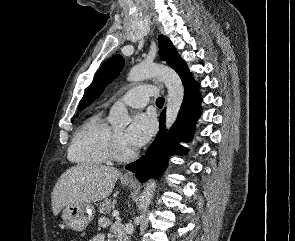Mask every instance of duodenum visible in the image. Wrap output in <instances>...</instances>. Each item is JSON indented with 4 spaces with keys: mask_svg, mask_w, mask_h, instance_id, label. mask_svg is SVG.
<instances>
[{
    "mask_svg": "<svg viewBox=\"0 0 295 241\" xmlns=\"http://www.w3.org/2000/svg\"><path fill=\"white\" fill-rule=\"evenodd\" d=\"M115 238H116V241H127L124 233L123 234H116Z\"/></svg>",
    "mask_w": 295,
    "mask_h": 241,
    "instance_id": "410a0bca",
    "label": "duodenum"
}]
</instances>
